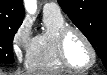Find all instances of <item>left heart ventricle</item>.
Wrapping results in <instances>:
<instances>
[{
    "label": "left heart ventricle",
    "mask_w": 107,
    "mask_h": 75,
    "mask_svg": "<svg viewBox=\"0 0 107 75\" xmlns=\"http://www.w3.org/2000/svg\"><path fill=\"white\" fill-rule=\"evenodd\" d=\"M65 50L69 61L78 67L91 61V53L84 40L76 33H70L66 39Z\"/></svg>",
    "instance_id": "obj_1"
}]
</instances>
